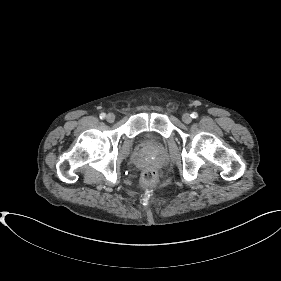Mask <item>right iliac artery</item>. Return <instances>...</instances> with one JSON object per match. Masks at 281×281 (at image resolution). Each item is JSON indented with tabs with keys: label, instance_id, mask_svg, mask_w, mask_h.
<instances>
[{
	"label": "right iliac artery",
	"instance_id": "1",
	"mask_svg": "<svg viewBox=\"0 0 281 281\" xmlns=\"http://www.w3.org/2000/svg\"><path fill=\"white\" fill-rule=\"evenodd\" d=\"M105 117H106V114H105V113H101V114H100V119H105Z\"/></svg>",
	"mask_w": 281,
	"mask_h": 281
}]
</instances>
